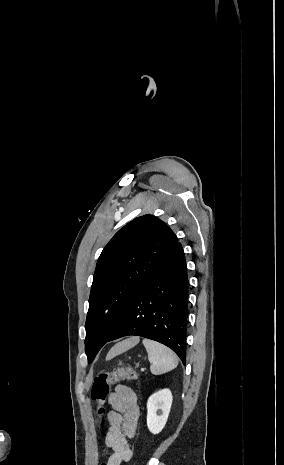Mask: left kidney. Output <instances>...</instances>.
Returning a JSON list of instances; mask_svg holds the SVG:
<instances>
[{
	"mask_svg": "<svg viewBox=\"0 0 284 465\" xmlns=\"http://www.w3.org/2000/svg\"><path fill=\"white\" fill-rule=\"evenodd\" d=\"M172 401L173 397L169 389H162V391L149 397L147 401V427L153 435H158L164 429Z\"/></svg>",
	"mask_w": 284,
	"mask_h": 465,
	"instance_id": "obj_1",
	"label": "left kidney"
}]
</instances>
